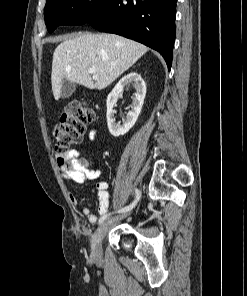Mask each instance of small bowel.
Wrapping results in <instances>:
<instances>
[{"label": "small bowel", "instance_id": "c3829d8e", "mask_svg": "<svg viewBox=\"0 0 247 296\" xmlns=\"http://www.w3.org/2000/svg\"><path fill=\"white\" fill-rule=\"evenodd\" d=\"M97 132V129H92L90 131L89 137L91 140L96 137ZM64 158L72 164L71 168L59 164V170L65 180H71L75 183L82 184L86 181L97 179L101 174V170L98 168L89 169L85 165H82L80 163L81 156L77 150H69L64 155ZM96 193L99 200L98 212L101 216L107 215L110 205L108 183L106 181H99L96 184ZM68 195L73 203H77V198L72 192H69ZM82 214L88 218L90 223H95L98 220V217L92 213L89 204L82 208Z\"/></svg>", "mask_w": 247, "mask_h": 296}]
</instances>
